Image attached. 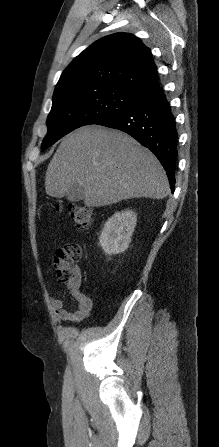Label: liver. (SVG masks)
Wrapping results in <instances>:
<instances>
[{
  "label": "liver",
  "mask_w": 219,
  "mask_h": 447,
  "mask_svg": "<svg viewBox=\"0 0 219 447\" xmlns=\"http://www.w3.org/2000/svg\"><path fill=\"white\" fill-rule=\"evenodd\" d=\"M75 185L83 188L88 207L131 198L163 199L170 193L153 153L125 133L95 125L66 135L48 165L47 195L62 198Z\"/></svg>",
  "instance_id": "obj_1"
}]
</instances>
